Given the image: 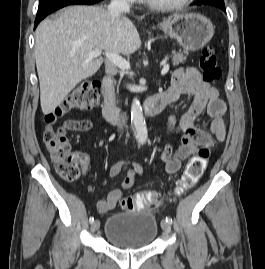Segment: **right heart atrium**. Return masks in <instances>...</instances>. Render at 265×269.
<instances>
[{
  "instance_id": "obj_1",
  "label": "right heart atrium",
  "mask_w": 265,
  "mask_h": 269,
  "mask_svg": "<svg viewBox=\"0 0 265 269\" xmlns=\"http://www.w3.org/2000/svg\"><path fill=\"white\" fill-rule=\"evenodd\" d=\"M120 1L131 2V1H134V0H120Z\"/></svg>"
}]
</instances>
